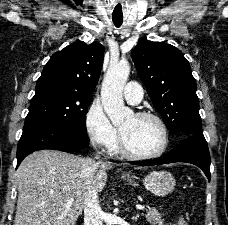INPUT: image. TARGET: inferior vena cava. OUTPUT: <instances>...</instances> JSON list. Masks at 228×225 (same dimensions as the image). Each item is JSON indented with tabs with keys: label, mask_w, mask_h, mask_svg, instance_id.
Listing matches in <instances>:
<instances>
[{
	"label": "inferior vena cava",
	"mask_w": 228,
	"mask_h": 225,
	"mask_svg": "<svg viewBox=\"0 0 228 225\" xmlns=\"http://www.w3.org/2000/svg\"><path fill=\"white\" fill-rule=\"evenodd\" d=\"M87 191L88 195L84 203V225H103V211L99 205L95 181H89Z\"/></svg>",
	"instance_id": "inferior-vena-cava-1"
}]
</instances>
